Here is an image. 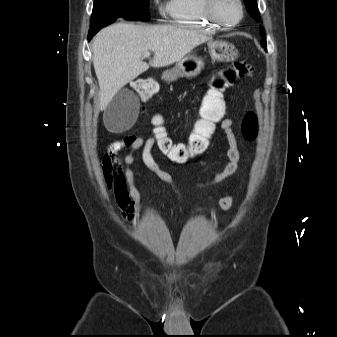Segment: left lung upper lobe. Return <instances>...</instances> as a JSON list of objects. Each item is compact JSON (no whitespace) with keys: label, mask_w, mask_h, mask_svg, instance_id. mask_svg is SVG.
Wrapping results in <instances>:
<instances>
[{"label":"left lung upper lobe","mask_w":337,"mask_h":337,"mask_svg":"<svg viewBox=\"0 0 337 337\" xmlns=\"http://www.w3.org/2000/svg\"><path fill=\"white\" fill-rule=\"evenodd\" d=\"M244 3L246 4V9L248 13L257 21H259L260 16L258 12V7L256 4V0H244ZM261 35H262V45L266 46V40L264 35V29H260Z\"/></svg>","instance_id":"left-lung-upper-lobe-1"}]
</instances>
